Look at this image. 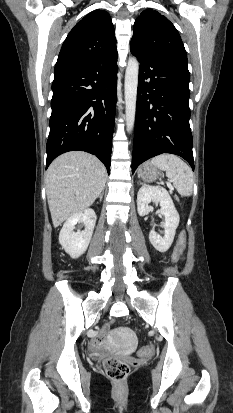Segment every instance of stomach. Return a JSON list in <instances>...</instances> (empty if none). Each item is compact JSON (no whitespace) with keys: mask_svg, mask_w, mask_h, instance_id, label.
I'll list each match as a JSON object with an SVG mask.
<instances>
[{"mask_svg":"<svg viewBox=\"0 0 233 413\" xmlns=\"http://www.w3.org/2000/svg\"><path fill=\"white\" fill-rule=\"evenodd\" d=\"M160 176V171L152 163L146 162L138 169V177L145 182H153Z\"/></svg>","mask_w":233,"mask_h":413,"instance_id":"obj_1","label":"stomach"}]
</instances>
